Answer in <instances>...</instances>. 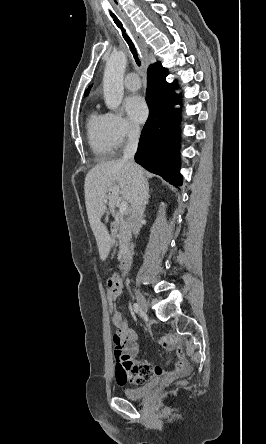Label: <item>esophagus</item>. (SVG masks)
Here are the masks:
<instances>
[{
	"instance_id": "esophagus-1",
	"label": "esophagus",
	"mask_w": 266,
	"mask_h": 444,
	"mask_svg": "<svg viewBox=\"0 0 266 444\" xmlns=\"http://www.w3.org/2000/svg\"><path fill=\"white\" fill-rule=\"evenodd\" d=\"M115 7L117 9V11L119 12V14L122 16V18L124 19V21L126 22L127 26L129 27V29L133 32V26L130 22V20L127 18L126 14L123 12L122 8L120 7L119 4L115 3ZM136 39L139 42V39L137 38V36H135ZM143 50V49H142Z\"/></svg>"
}]
</instances>
